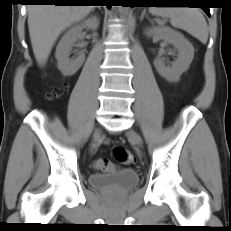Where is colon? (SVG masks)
Listing matches in <instances>:
<instances>
[{
	"instance_id": "1",
	"label": "colon",
	"mask_w": 231,
	"mask_h": 231,
	"mask_svg": "<svg viewBox=\"0 0 231 231\" xmlns=\"http://www.w3.org/2000/svg\"><path fill=\"white\" fill-rule=\"evenodd\" d=\"M61 92V90H56L54 96L59 95ZM113 156L116 159V161L124 165H132L135 162L134 155L122 146H117L114 148ZM95 168L98 170L107 171L112 170L114 166L109 159L101 158L95 162Z\"/></svg>"
}]
</instances>
